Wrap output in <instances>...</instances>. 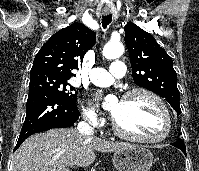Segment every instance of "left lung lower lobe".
<instances>
[{"instance_id": "0a47b994", "label": "left lung lower lobe", "mask_w": 199, "mask_h": 171, "mask_svg": "<svg viewBox=\"0 0 199 171\" xmlns=\"http://www.w3.org/2000/svg\"><path fill=\"white\" fill-rule=\"evenodd\" d=\"M171 145L179 148L184 154H186V147H185V144L182 142L181 139H178L176 142L171 143Z\"/></svg>"}]
</instances>
